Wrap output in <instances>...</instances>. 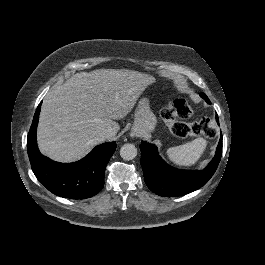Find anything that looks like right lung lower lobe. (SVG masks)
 <instances>
[{"instance_id":"right-lung-lower-lobe-1","label":"right lung lower lobe","mask_w":265,"mask_h":265,"mask_svg":"<svg viewBox=\"0 0 265 265\" xmlns=\"http://www.w3.org/2000/svg\"><path fill=\"white\" fill-rule=\"evenodd\" d=\"M39 104L27 137L28 156L32 170L42 185L53 194L86 199L97 194L104 186V173L116 149L115 142L96 146L85 158L74 163H58L43 156L37 147L36 129Z\"/></svg>"}]
</instances>
